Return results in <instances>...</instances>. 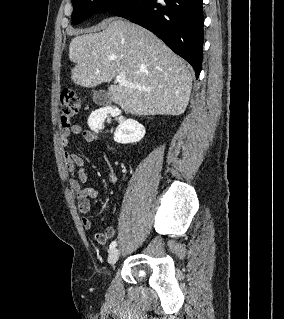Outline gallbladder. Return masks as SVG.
<instances>
[{
    "mask_svg": "<svg viewBox=\"0 0 284 319\" xmlns=\"http://www.w3.org/2000/svg\"><path fill=\"white\" fill-rule=\"evenodd\" d=\"M93 101L98 105H108L111 104V97L105 90H95L93 91Z\"/></svg>",
    "mask_w": 284,
    "mask_h": 319,
    "instance_id": "1",
    "label": "gallbladder"
}]
</instances>
